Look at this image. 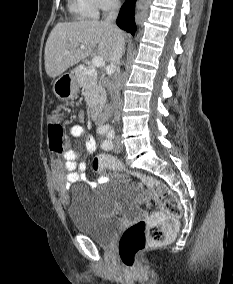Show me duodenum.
I'll list each match as a JSON object with an SVG mask.
<instances>
[{
  "mask_svg": "<svg viewBox=\"0 0 233 284\" xmlns=\"http://www.w3.org/2000/svg\"><path fill=\"white\" fill-rule=\"evenodd\" d=\"M90 116L99 127H103L105 117L103 114V109L100 105H93L91 107Z\"/></svg>",
  "mask_w": 233,
  "mask_h": 284,
  "instance_id": "1",
  "label": "duodenum"
}]
</instances>
